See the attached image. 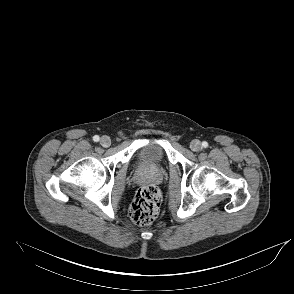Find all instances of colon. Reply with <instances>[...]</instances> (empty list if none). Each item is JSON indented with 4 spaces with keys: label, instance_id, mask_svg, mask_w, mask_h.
Returning <instances> with one entry per match:
<instances>
[{
    "label": "colon",
    "instance_id": "obj_1",
    "mask_svg": "<svg viewBox=\"0 0 294 294\" xmlns=\"http://www.w3.org/2000/svg\"><path fill=\"white\" fill-rule=\"evenodd\" d=\"M161 193L154 185L141 187L130 206L131 220L138 225H147L153 222L159 214Z\"/></svg>",
    "mask_w": 294,
    "mask_h": 294
}]
</instances>
